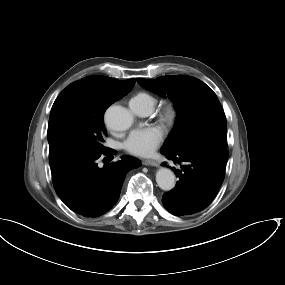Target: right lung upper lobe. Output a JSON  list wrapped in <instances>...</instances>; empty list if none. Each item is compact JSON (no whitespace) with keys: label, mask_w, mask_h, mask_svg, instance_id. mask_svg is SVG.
<instances>
[{"label":"right lung upper lobe","mask_w":285,"mask_h":285,"mask_svg":"<svg viewBox=\"0 0 285 285\" xmlns=\"http://www.w3.org/2000/svg\"><path fill=\"white\" fill-rule=\"evenodd\" d=\"M81 80L104 88L112 96L117 97L118 99H121L126 95L133 88L136 82V79L134 78L119 81L105 76H89Z\"/></svg>","instance_id":"1"}]
</instances>
